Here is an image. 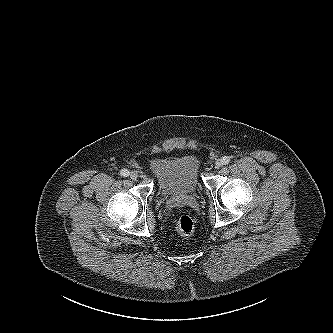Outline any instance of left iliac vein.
Wrapping results in <instances>:
<instances>
[{"label":"left iliac vein","instance_id":"4c4485c4","mask_svg":"<svg viewBox=\"0 0 333 333\" xmlns=\"http://www.w3.org/2000/svg\"><path fill=\"white\" fill-rule=\"evenodd\" d=\"M222 166V160L221 159H218L216 162H215V168L216 169H219L221 168Z\"/></svg>","mask_w":333,"mask_h":333}]
</instances>
